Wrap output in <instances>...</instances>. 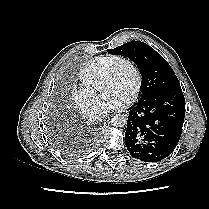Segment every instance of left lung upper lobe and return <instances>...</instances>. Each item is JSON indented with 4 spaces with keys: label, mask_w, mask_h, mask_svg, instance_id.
Returning a JSON list of instances; mask_svg holds the SVG:
<instances>
[{
    "label": "left lung upper lobe",
    "mask_w": 209,
    "mask_h": 209,
    "mask_svg": "<svg viewBox=\"0 0 209 209\" xmlns=\"http://www.w3.org/2000/svg\"><path fill=\"white\" fill-rule=\"evenodd\" d=\"M109 54L121 55L131 59L142 75V93L140 100H146L153 95L180 83L168 62L152 47L141 42L131 41L115 49Z\"/></svg>",
    "instance_id": "5c2ea615"
}]
</instances>
